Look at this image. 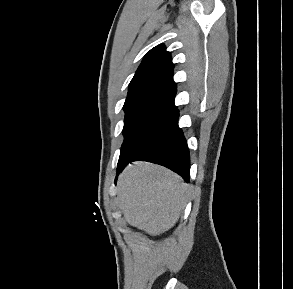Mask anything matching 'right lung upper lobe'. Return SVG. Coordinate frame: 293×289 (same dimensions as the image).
Here are the masks:
<instances>
[{
  "mask_svg": "<svg viewBox=\"0 0 293 289\" xmlns=\"http://www.w3.org/2000/svg\"><path fill=\"white\" fill-rule=\"evenodd\" d=\"M173 69L171 54L163 44L151 49L129 84L126 101L151 99L174 105Z\"/></svg>",
  "mask_w": 293,
  "mask_h": 289,
  "instance_id": "right-lung-upper-lobe-1",
  "label": "right lung upper lobe"
}]
</instances>
